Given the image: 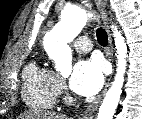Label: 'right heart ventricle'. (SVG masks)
<instances>
[{
	"label": "right heart ventricle",
	"mask_w": 142,
	"mask_h": 119,
	"mask_svg": "<svg viewBox=\"0 0 142 119\" xmlns=\"http://www.w3.org/2000/svg\"><path fill=\"white\" fill-rule=\"evenodd\" d=\"M57 75L44 66L29 64L23 73L22 96L31 107L52 108L58 97Z\"/></svg>",
	"instance_id": "obj_1"
}]
</instances>
